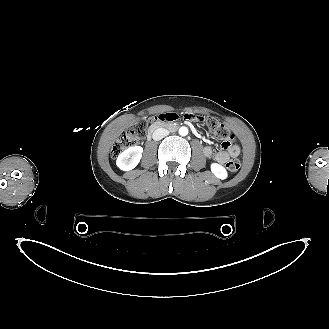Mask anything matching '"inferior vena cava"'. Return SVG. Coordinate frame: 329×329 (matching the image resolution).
Listing matches in <instances>:
<instances>
[{"instance_id": "1", "label": "inferior vena cava", "mask_w": 329, "mask_h": 329, "mask_svg": "<svg viewBox=\"0 0 329 329\" xmlns=\"http://www.w3.org/2000/svg\"><path fill=\"white\" fill-rule=\"evenodd\" d=\"M169 134V131L165 128H158L153 132L152 138L155 141L161 140Z\"/></svg>"}]
</instances>
